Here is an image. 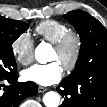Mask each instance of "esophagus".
I'll return each mask as SVG.
<instances>
[{
	"instance_id": "obj_1",
	"label": "esophagus",
	"mask_w": 107,
	"mask_h": 107,
	"mask_svg": "<svg viewBox=\"0 0 107 107\" xmlns=\"http://www.w3.org/2000/svg\"><path fill=\"white\" fill-rule=\"evenodd\" d=\"M47 90H48V88H46V87H43V86H39V87H38V92H39V93L46 92Z\"/></svg>"
}]
</instances>
